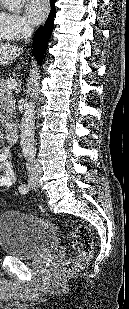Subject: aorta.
<instances>
[{
  "instance_id": "762f6f07",
  "label": "aorta",
  "mask_w": 129,
  "mask_h": 309,
  "mask_svg": "<svg viewBox=\"0 0 129 309\" xmlns=\"http://www.w3.org/2000/svg\"><path fill=\"white\" fill-rule=\"evenodd\" d=\"M7 9L15 12L23 2V0H4ZM35 104L33 100L28 102L20 124V143L22 152L25 156L33 157L36 153L35 148Z\"/></svg>"
}]
</instances>
